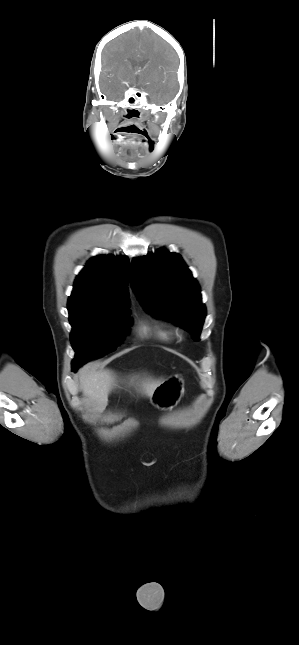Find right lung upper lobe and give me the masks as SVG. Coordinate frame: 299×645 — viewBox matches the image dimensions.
Masks as SVG:
<instances>
[{
  "instance_id": "obj_1",
  "label": "right lung upper lobe",
  "mask_w": 299,
  "mask_h": 645,
  "mask_svg": "<svg viewBox=\"0 0 299 645\" xmlns=\"http://www.w3.org/2000/svg\"><path fill=\"white\" fill-rule=\"evenodd\" d=\"M127 257L99 255L92 258L76 277L69 307L127 308Z\"/></svg>"
}]
</instances>
